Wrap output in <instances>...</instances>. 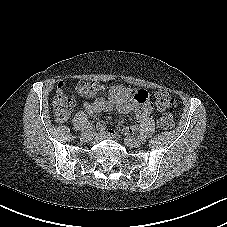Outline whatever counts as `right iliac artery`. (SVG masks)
<instances>
[{"mask_svg":"<svg viewBox=\"0 0 227 227\" xmlns=\"http://www.w3.org/2000/svg\"><path fill=\"white\" fill-rule=\"evenodd\" d=\"M102 126V123L101 122H98V123H94L93 125H91V130H94V129H98Z\"/></svg>","mask_w":227,"mask_h":227,"instance_id":"obj_1","label":"right iliac artery"}]
</instances>
